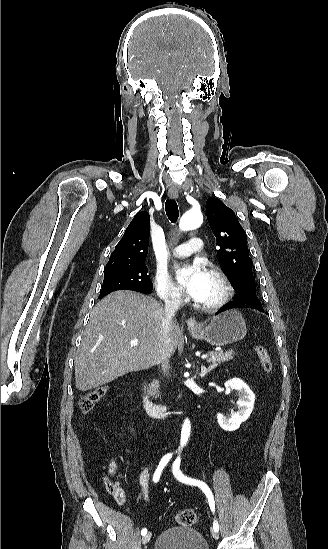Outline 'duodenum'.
<instances>
[{
	"label": "duodenum",
	"mask_w": 328,
	"mask_h": 549,
	"mask_svg": "<svg viewBox=\"0 0 328 549\" xmlns=\"http://www.w3.org/2000/svg\"><path fill=\"white\" fill-rule=\"evenodd\" d=\"M140 398L144 410L152 416L164 417L174 412V406L153 402L147 395L146 386L144 383L141 386Z\"/></svg>",
	"instance_id": "1"
}]
</instances>
